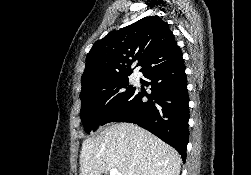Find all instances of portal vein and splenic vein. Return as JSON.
<instances>
[{
  "label": "portal vein and splenic vein",
  "instance_id": "18ae733b",
  "mask_svg": "<svg viewBox=\"0 0 251 175\" xmlns=\"http://www.w3.org/2000/svg\"><path fill=\"white\" fill-rule=\"evenodd\" d=\"M110 175H123V173H120L118 169H115V167H112V169H110Z\"/></svg>",
  "mask_w": 251,
  "mask_h": 175
}]
</instances>
